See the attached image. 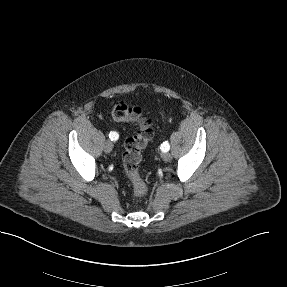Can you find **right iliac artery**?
<instances>
[{
	"label": "right iliac artery",
	"instance_id": "right-iliac-artery-1",
	"mask_svg": "<svg viewBox=\"0 0 287 287\" xmlns=\"http://www.w3.org/2000/svg\"><path fill=\"white\" fill-rule=\"evenodd\" d=\"M109 138L111 139V141H116L119 138V135L116 132H110Z\"/></svg>",
	"mask_w": 287,
	"mask_h": 287
}]
</instances>
